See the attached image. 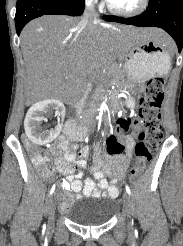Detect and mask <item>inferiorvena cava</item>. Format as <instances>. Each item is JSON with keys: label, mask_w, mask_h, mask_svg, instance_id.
<instances>
[{"label": "inferior vena cava", "mask_w": 183, "mask_h": 246, "mask_svg": "<svg viewBox=\"0 0 183 246\" xmlns=\"http://www.w3.org/2000/svg\"><path fill=\"white\" fill-rule=\"evenodd\" d=\"M99 14L95 10L93 0H86V7L81 23L84 25H91L98 21Z\"/></svg>", "instance_id": "1"}]
</instances>
